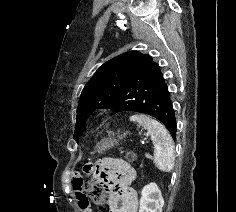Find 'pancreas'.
<instances>
[{"instance_id": "pancreas-1", "label": "pancreas", "mask_w": 236, "mask_h": 212, "mask_svg": "<svg viewBox=\"0 0 236 212\" xmlns=\"http://www.w3.org/2000/svg\"><path fill=\"white\" fill-rule=\"evenodd\" d=\"M146 157H147V158H151V156H150V155H147Z\"/></svg>"}]
</instances>
